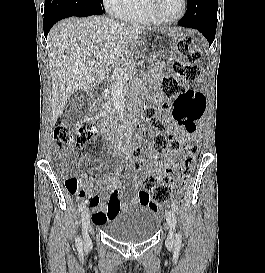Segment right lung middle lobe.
<instances>
[{
    "mask_svg": "<svg viewBox=\"0 0 265 273\" xmlns=\"http://www.w3.org/2000/svg\"><path fill=\"white\" fill-rule=\"evenodd\" d=\"M103 0H45L44 18L58 14L86 17L105 13Z\"/></svg>",
    "mask_w": 265,
    "mask_h": 273,
    "instance_id": "right-lung-middle-lobe-1",
    "label": "right lung middle lobe"
}]
</instances>
